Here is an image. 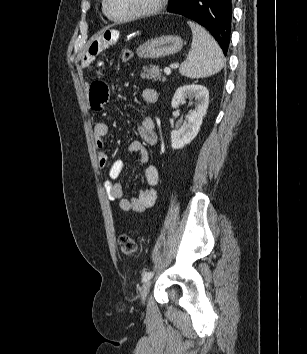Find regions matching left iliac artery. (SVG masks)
Masks as SVG:
<instances>
[{
    "label": "left iliac artery",
    "mask_w": 307,
    "mask_h": 354,
    "mask_svg": "<svg viewBox=\"0 0 307 354\" xmlns=\"http://www.w3.org/2000/svg\"><path fill=\"white\" fill-rule=\"evenodd\" d=\"M153 276V272H145L142 277V281L146 282Z\"/></svg>",
    "instance_id": "left-iliac-artery-1"
}]
</instances>
